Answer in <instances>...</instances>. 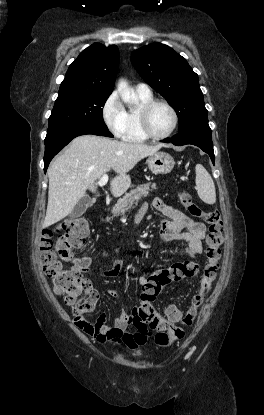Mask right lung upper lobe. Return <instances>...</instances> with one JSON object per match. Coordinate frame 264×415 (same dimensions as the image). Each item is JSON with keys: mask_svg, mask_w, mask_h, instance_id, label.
<instances>
[{"mask_svg": "<svg viewBox=\"0 0 264 415\" xmlns=\"http://www.w3.org/2000/svg\"><path fill=\"white\" fill-rule=\"evenodd\" d=\"M118 67V47L94 43L71 63L60 85L59 95L111 94Z\"/></svg>", "mask_w": 264, "mask_h": 415, "instance_id": "cb5924a9", "label": "right lung upper lobe"}]
</instances>
